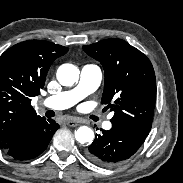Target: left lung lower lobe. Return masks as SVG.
I'll return each instance as SVG.
<instances>
[{
    "instance_id": "0a47b994",
    "label": "left lung lower lobe",
    "mask_w": 183,
    "mask_h": 183,
    "mask_svg": "<svg viewBox=\"0 0 183 183\" xmlns=\"http://www.w3.org/2000/svg\"><path fill=\"white\" fill-rule=\"evenodd\" d=\"M96 135L86 151L87 157L101 166H113L130 158L142 145L147 134L125 124L112 123L110 130Z\"/></svg>"
}]
</instances>
